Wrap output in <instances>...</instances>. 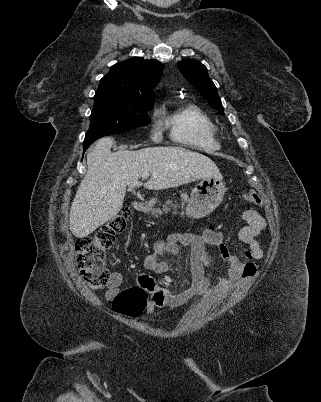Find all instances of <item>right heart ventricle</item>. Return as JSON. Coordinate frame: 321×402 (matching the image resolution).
Returning <instances> with one entry per match:
<instances>
[{
	"label": "right heart ventricle",
	"mask_w": 321,
	"mask_h": 402,
	"mask_svg": "<svg viewBox=\"0 0 321 402\" xmlns=\"http://www.w3.org/2000/svg\"><path fill=\"white\" fill-rule=\"evenodd\" d=\"M161 125L177 144L204 151L220 148L215 123L195 104H186L163 116Z\"/></svg>",
	"instance_id": "1"
}]
</instances>
